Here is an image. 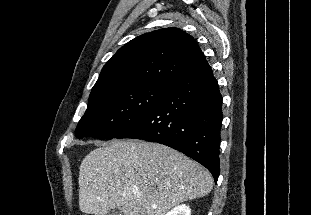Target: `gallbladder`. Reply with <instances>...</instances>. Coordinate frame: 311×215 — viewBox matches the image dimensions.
I'll return each mask as SVG.
<instances>
[{
  "mask_svg": "<svg viewBox=\"0 0 311 215\" xmlns=\"http://www.w3.org/2000/svg\"><path fill=\"white\" fill-rule=\"evenodd\" d=\"M108 215H122V213L117 208H113L109 211Z\"/></svg>",
  "mask_w": 311,
  "mask_h": 215,
  "instance_id": "bac80fb5",
  "label": "gallbladder"
}]
</instances>
